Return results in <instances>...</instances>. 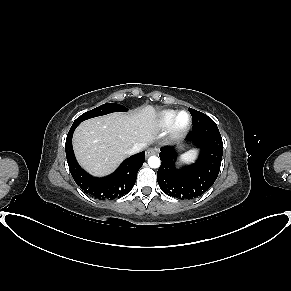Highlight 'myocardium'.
<instances>
[{
    "label": "myocardium",
    "mask_w": 291,
    "mask_h": 291,
    "mask_svg": "<svg viewBox=\"0 0 291 291\" xmlns=\"http://www.w3.org/2000/svg\"><path fill=\"white\" fill-rule=\"evenodd\" d=\"M181 114H185L187 116V122L184 125H180L177 122V118ZM191 123H192V117L188 111H186V110L177 111L174 114V116L171 120V123L168 127V131H169L170 136L173 138H179V137L183 136L189 130Z\"/></svg>",
    "instance_id": "f54148a6"
}]
</instances>
